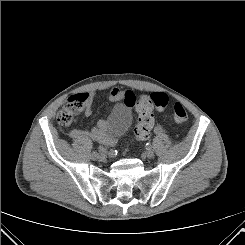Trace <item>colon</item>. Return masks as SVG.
<instances>
[{
    "label": "colon",
    "instance_id": "1",
    "mask_svg": "<svg viewBox=\"0 0 245 245\" xmlns=\"http://www.w3.org/2000/svg\"><path fill=\"white\" fill-rule=\"evenodd\" d=\"M88 96L80 94L70 97L57 115L58 124L62 127L70 125L85 106ZM168 104V97L164 93H153L151 95H142L137 104L138 122L135 127V138L138 141L146 140L150 137L154 126V107L162 110ZM173 120L176 124H183L188 120V114L185 108L176 103L174 106Z\"/></svg>",
    "mask_w": 245,
    "mask_h": 245
}]
</instances>
